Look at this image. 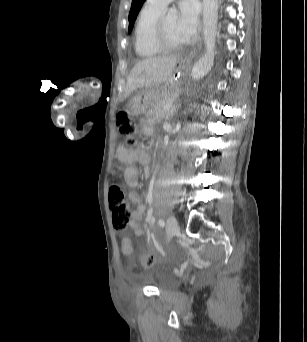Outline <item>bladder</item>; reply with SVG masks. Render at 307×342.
<instances>
[{"label": "bladder", "mask_w": 307, "mask_h": 342, "mask_svg": "<svg viewBox=\"0 0 307 342\" xmlns=\"http://www.w3.org/2000/svg\"><path fill=\"white\" fill-rule=\"evenodd\" d=\"M175 283V279L171 274L168 273H158L154 275L149 284L159 290H166L171 288Z\"/></svg>", "instance_id": "obj_1"}]
</instances>
